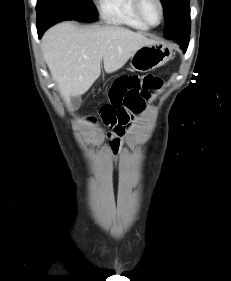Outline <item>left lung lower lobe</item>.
<instances>
[{
	"label": "left lung lower lobe",
	"instance_id": "left-lung-lower-lobe-1",
	"mask_svg": "<svg viewBox=\"0 0 231 281\" xmlns=\"http://www.w3.org/2000/svg\"><path fill=\"white\" fill-rule=\"evenodd\" d=\"M189 36H190V30H182L179 29L175 32H173L169 37L167 38H174L178 40V43L181 45L183 51L185 52L188 47L189 42Z\"/></svg>",
	"mask_w": 231,
	"mask_h": 281
}]
</instances>
